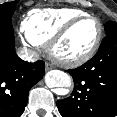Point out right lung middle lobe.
I'll list each match as a JSON object with an SVG mask.
<instances>
[{
    "label": "right lung middle lobe",
    "mask_w": 117,
    "mask_h": 117,
    "mask_svg": "<svg viewBox=\"0 0 117 117\" xmlns=\"http://www.w3.org/2000/svg\"><path fill=\"white\" fill-rule=\"evenodd\" d=\"M17 1L0 4V19H10L15 11Z\"/></svg>",
    "instance_id": "dd1d6c3e"
}]
</instances>
